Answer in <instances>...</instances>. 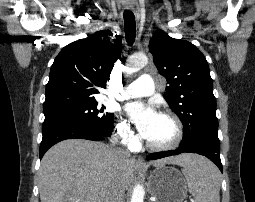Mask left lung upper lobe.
<instances>
[{"mask_svg":"<svg viewBox=\"0 0 255 202\" xmlns=\"http://www.w3.org/2000/svg\"><path fill=\"white\" fill-rule=\"evenodd\" d=\"M153 60L167 84L164 98L184 126L182 144L218 139L216 100L209 66L192 43L158 30L149 43Z\"/></svg>","mask_w":255,"mask_h":202,"instance_id":"1","label":"left lung upper lobe"}]
</instances>
